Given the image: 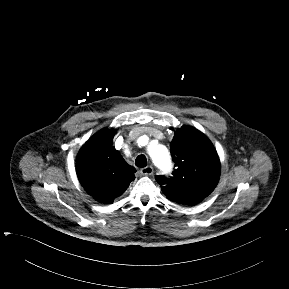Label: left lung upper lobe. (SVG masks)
Listing matches in <instances>:
<instances>
[{
	"label": "left lung upper lobe",
	"instance_id": "1",
	"mask_svg": "<svg viewBox=\"0 0 289 289\" xmlns=\"http://www.w3.org/2000/svg\"><path fill=\"white\" fill-rule=\"evenodd\" d=\"M170 149L176 167L173 176H156L155 179L169 200L190 206L197 204L218 183L217 152L203 133L190 126L176 130Z\"/></svg>",
	"mask_w": 289,
	"mask_h": 289
}]
</instances>
